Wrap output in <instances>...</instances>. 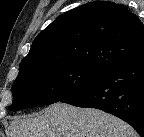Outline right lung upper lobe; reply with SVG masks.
<instances>
[{"instance_id": "cb5924a9", "label": "right lung upper lobe", "mask_w": 144, "mask_h": 137, "mask_svg": "<svg viewBox=\"0 0 144 137\" xmlns=\"http://www.w3.org/2000/svg\"><path fill=\"white\" fill-rule=\"evenodd\" d=\"M144 53V25L121 4L95 1L60 15L35 38L20 67L77 62L106 72Z\"/></svg>"}]
</instances>
